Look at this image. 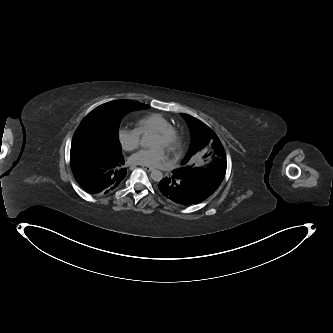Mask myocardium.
I'll return each instance as SVG.
<instances>
[{
    "label": "myocardium",
    "mask_w": 333,
    "mask_h": 333,
    "mask_svg": "<svg viewBox=\"0 0 333 333\" xmlns=\"http://www.w3.org/2000/svg\"><path fill=\"white\" fill-rule=\"evenodd\" d=\"M156 134L161 135L165 140L166 150L172 151L178 145V134L173 127H168L155 131Z\"/></svg>",
    "instance_id": "1"
}]
</instances>
